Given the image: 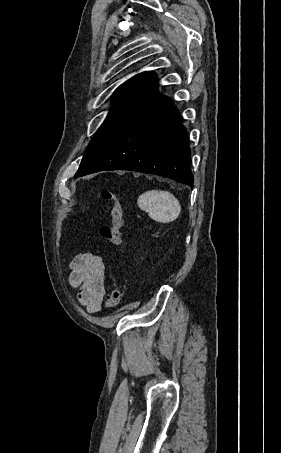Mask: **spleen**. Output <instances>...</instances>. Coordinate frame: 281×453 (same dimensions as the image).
I'll return each instance as SVG.
<instances>
[{"mask_svg":"<svg viewBox=\"0 0 281 453\" xmlns=\"http://www.w3.org/2000/svg\"><path fill=\"white\" fill-rule=\"evenodd\" d=\"M137 204L158 222H172L181 212L179 200L167 190H147L140 194Z\"/></svg>","mask_w":281,"mask_h":453,"instance_id":"spleen-1","label":"spleen"}]
</instances>
